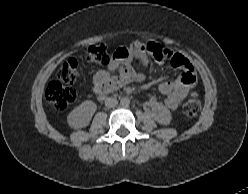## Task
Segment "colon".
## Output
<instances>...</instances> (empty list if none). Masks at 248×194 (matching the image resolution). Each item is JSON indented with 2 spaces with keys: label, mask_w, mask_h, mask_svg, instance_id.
I'll return each mask as SVG.
<instances>
[{
  "label": "colon",
  "mask_w": 248,
  "mask_h": 194,
  "mask_svg": "<svg viewBox=\"0 0 248 194\" xmlns=\"http://www.w3.org/2000/svg\"><path fill=\"white\" fill-rule=\"evenodd\" d=\"M151 55L157 62L170 61L174 54L159 46L151 48ZM87 60L101 67H106L111 62L108 47L104 43L92 45L86 52ZM79 61L69 58L60 66L56 77L51 80L46 88V98L57 109H65L71 105L76 98L75 90L70 86L78 77ZM201 108V102L197 92L189 94L182 105V112L188 118L195 117Z\"/></svg>",
  "instance_id": "5ec220e1"
}]
</instances>
